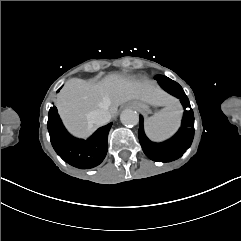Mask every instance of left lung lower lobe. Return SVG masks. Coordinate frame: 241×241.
<instances>
[{"label":"left lung lower lobe","mask_w":241,"mask_h":241,"mask_svg":"<svg viewBox=\"0 0 241 241\" xmlns=\"http://www.w3.org/2000/svg\"><path fill=\"white\" fill-rule=\"evenodd\" d=\"M155 79L165 91L179 98L186 110L178 133L163 143L151 142L146 137L143 130V117L140 116L139 141L149 159L157 162H170L181 157L192 143L194 137L193 110L188 97L177 82L163 75H156Z\"/></svg>","instance_id":"1"}]
</instances>
